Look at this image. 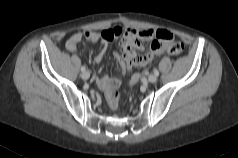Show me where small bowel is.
I'll use <instances>...</instances> for the list:
<instances>
[{
    "label": "small bowel",
    "mask_w": 238,
    "mask_h": 158,
    "mask_svg": "<svg viewBox=\"0 0 238 158\" xmlns=\"http://www.w3.org/2000/svg\"><path fill=\"white\" fill-rule=\"evenodd\" d=\"M113 38L121 37V49L115 52V57L119 61L121 70H129L132 67H141L150 63L156 56L164 53V43L172 39V34L164 29H132L115 27L109 29ZM153 39L149 49L143 52L144 47L141 41ZM101 40L102 47L95 56L96 62L102 61L108 48L110 40L101 36V32H78L75 33L67 42V48L70 51H76L79 44L84 41L85 43H94ZM139 75L135 74L131 78L130 83L134 84L138 81ZM112 81L120 83L118 78H110L108 76L96 77L97 86L105 93L110 87Z\"/></svg>",
    "instance_id": "obj_1"
}]
</instances>
